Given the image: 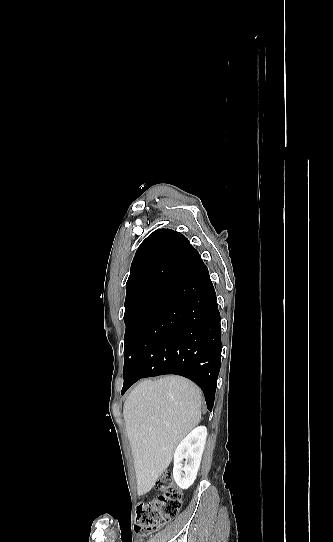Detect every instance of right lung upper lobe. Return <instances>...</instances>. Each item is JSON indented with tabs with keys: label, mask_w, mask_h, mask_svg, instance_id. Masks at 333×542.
Masks as SVG:
<instances>
[{
	"label": "right lung upper lobe",
	"mask_w": 333,
	"mask_h": 542,
	"mask_svg": "<svg viewBox=\"0 0 333 542\" xmlns=\"http://www.w3.org/2000/svg\"><path fill=\"white\" fill-rule=\"evenodd\" d=\"M198 253L179 232L158 229L140 245L126 283L125 309L158 295L167 294L188 273L168 265L163 253L169 249Z\"/></svg>",
	"instance_id": "cb5924a9"
}]
</instances>
